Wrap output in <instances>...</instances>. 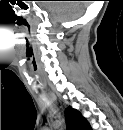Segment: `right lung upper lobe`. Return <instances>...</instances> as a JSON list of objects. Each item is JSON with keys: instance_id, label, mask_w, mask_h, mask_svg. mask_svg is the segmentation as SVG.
I'll use <instances>...</instances> for the list:
<instances>
[{"instance_id": "cb5924a9", "label": "right lung upper lobe", "mask_w": 123, "mask_h": 130, "mask_svg": "<svg viewBox=\"0 0 123 130\" xmlns=\"http://www.w3.org/2000/svg\"><path fill=\"white\" fill-rule=\"evenodd\" d=\"M65 117L67 122V127L70 130H89L90 126L88 125L85 118H83L80 112L71 106H68L65 110Z\"/></svg>"}]
</instances>
